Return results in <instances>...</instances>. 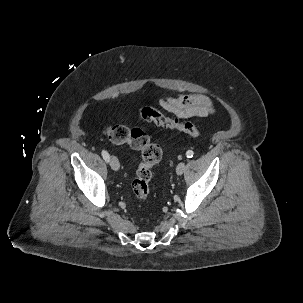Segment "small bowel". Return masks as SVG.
Listing matches in <instances>:
<instances>
[{
    "label": "small bowel",
    "mask_w": 303,
    "mask_h": 303,
    "mask_svg": "<svg viewBox=\"0 0 303 303\" xmlns=\"http://www.w3.org/2000/svg\"><path fill=\"white\" fill-rule=\"evenodd\" d=\"M161 106L179 118L205 117L215 112L211 100L201 94H180L176 97H165Z\"/></svg>",
    "instance_id": "c3829d8e"
}]
</instances>
